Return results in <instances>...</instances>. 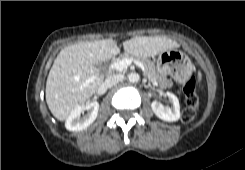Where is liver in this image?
<instances>
[{
    "label": "liver",
    "instance_id": "6515ba94",
    "mask_svg": "<svg viewBox=\"0 0 245 170\" xmlns=\"http://www.w3.org/2000/svg\"><path fill=\"white\" fill-rule=\"evenodd\" d=\"M178 46L166 37H134L123 42L124 51L135 56H156ZM120 53L117 42L103 39L79 42L63 48L50 69L46 102L53 116L64 121L72 110L88 100L101 86L104 76L95 66Z\"/></svg>",
    "mask_w": 245,
    "mask_h": 170
}]
</instances>
